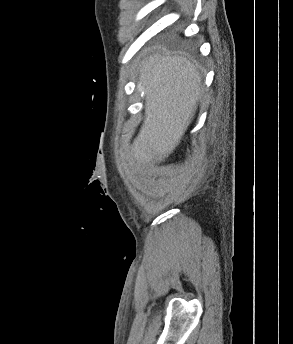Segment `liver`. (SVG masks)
Returning <instances> with one entry per match:
<instances>
[{"mask_svg":"<svg viewBox=\"0 0 293 344\" xmlns=\"http://www.w3.org/2000/svg\"><path fill=\"white\" fill-rule=\"evenodd\" d=\"M138 90L145 96V120L131 155L138 163H150L180 143L203 91L202 78L186 58L155 53L140 65Z\"/></svg>","mask_w":293,"mask_h":344,"instance_id":"obj_1","label":"liver"}]
</instances>
